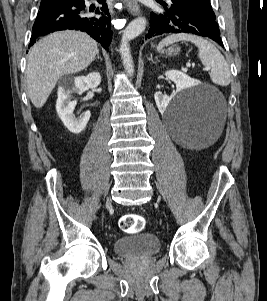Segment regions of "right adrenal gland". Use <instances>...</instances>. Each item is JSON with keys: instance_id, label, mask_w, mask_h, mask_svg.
<instances>
[{"instance_id": "1", "label": "right adrenal gland", "mask_w": 267, "mask_h": 301, "mask_svg": "<svg viewBox=\"0 0 267 301\" xmlns=\"http://www.w3.org/2000/svg\"><path fill=\"white\" fill-rule=\"evenodd\" d=\"M97 59H99L100 61H102V58L100 57V55H99V50H98V52H97V57H96Z\"/></svg>"}]
</instances>
